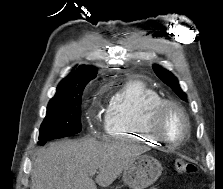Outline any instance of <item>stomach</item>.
Returning a JSON list of instances; mask_svg holds the SVG:
<instances>
[{
  "label": "stomach",
  "instance_id": "stomach-1",
  "mask_svg": "<svg viewBox=\"0 0 223 189\" xmlns=\"http://www.w3.org/2000/svg\"><path fill=\"white\" fill-rule=\"evenodd\" d=\"M162 173L158 160L139 155L124 169L122 180L131 189H144L153 184Z\"/></svg>",
  "mask_w": 223,
  "mask_h": 189
}]
</instances>
